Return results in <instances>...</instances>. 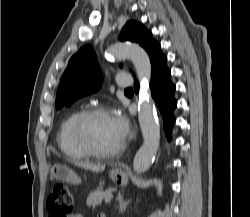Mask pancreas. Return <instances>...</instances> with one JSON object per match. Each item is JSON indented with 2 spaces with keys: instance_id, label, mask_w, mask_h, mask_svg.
<instances>
[{
  "instance_id": "1",
  "label": "pancreas",
  "mask_w": 250,
  "mask_h": 217,
  "mask_svg": "<svg viewBox=\"0 0 250 217\" xmlns=\"http://www.w3.org/2000/svg\"><path fill=\"white\" fill-rule=\"evenodd\" d=\"M111 190L103 191L102 189L98 188L94 192H91L87 198V205L88 206H99L102 204V200L111 195Z\"/></svg>"
}]
</instances>
